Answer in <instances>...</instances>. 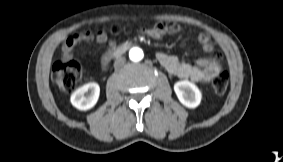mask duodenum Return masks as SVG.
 I'll use <instances>...</instances> for the list:
<instances>
[{
  "mask_svg": "<svg viewBox=\"0 0 283 162\" xmlns=\"http://www.w3.org/2000/svg\"><path fill=\"white\" fill-rule=\"evenodd\" d=\"M130 47V44L129 43H124V44H121L119 45L115 51L113 52H110V55L112 57H119L121 56L123 53H125V51Z\"/></svg>",
  "mask_w": 283,
  "mask_h": 162,
  "instance_id": "obj_1",
  "label": "duodenum"
}]
</instances>
